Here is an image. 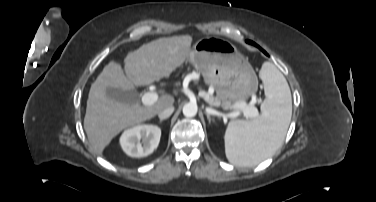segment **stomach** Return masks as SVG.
<instances>
[{
	"label": "stomach",
	"instance_id": "stomach-1",
	"mask_svg": "<svg viewBox=\"0 0 376 202\" xmlns=\"http://www.w3.org/2000/svg\"><path fill=\"white\" fill-rule=\"evenodd\" d=\"M187 59L204 82L215 88L222 103L246 99L257 92L258 81L252 66L228 40L202 38L193 45Z\"/></svg>",
	"mask_w": 376,
	"mask_h": 202
}]
</instances>
